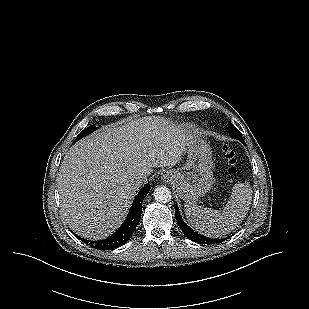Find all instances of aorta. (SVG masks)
I'll use <instances>...</instances> for the list:
<instances>
[{"label":"aorta","mask_w":309,"mask_h":309,"mask_svg":"<svg viewBox=\"0 0 309 309\" xmlns=\"http://www.w3.org/2000/svg\"><path fill=\"white\" fill-rule=\"evenodd\" d=\"M155 200L160 203H167L171 200V191L168 187L158 186L153 193Z\"/></svg>","instance_id":"obj_1"}]
</instances>
